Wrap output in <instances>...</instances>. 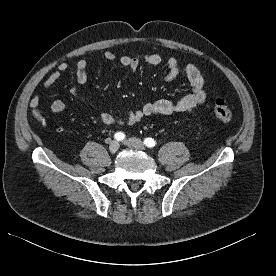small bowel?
I'll return each instance as SVG.
<instances>
[{
    "mask_svg": "<svg viewBox=\"0 0 276 276\" xmlns=\"http://www.w3.org/2000/svg\"><path fill=\"white\" fill-rule=\"evenodd\" d=\"M104 58L107 61H114L116 55L112 51H106ZM119 62L122 66L129 68L132 72H136L140 64L146 63L148 65L156 66L162 63V57L159 54H145L141 56H121ZM167 74L163 77L164 82H170L177 77L181 76L190 85L191 92L178 102L173 103L168 100H157L144 105L138 110H132L126 113L123 117H115L109 113L101 112L100 120L104 124H126L134 125L140 122L143 118L152 115L169 116L175 113H190L201 105L206 99V91L204 89V79L200 71L193 65L188 64L186 67L181 68L176 59L168 58L165 61ZM69 69L67 62H61L58 69L53 71L45 80L44 88L50 90L60 78L62 72ZM75 77L79 84H85L88 81L87 62L85 59H79L74 66ZM71 93L79 98L84 103L97 107L85 97L77 86L71 88ZM32 108L39 106L38 96H33L30 101ZM66 109V105L62 100H55L51 104V111L54 114H62Z\"/></svg>",
    "mask_w": 276,
    "mask_h": 276,
    "instance_id": "c3829d8e",
    "label": "small bowel"
}]
</instances>
